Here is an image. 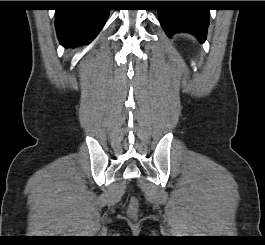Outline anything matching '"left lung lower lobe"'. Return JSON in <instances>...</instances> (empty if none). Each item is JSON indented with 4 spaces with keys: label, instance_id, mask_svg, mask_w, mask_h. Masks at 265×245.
<instances>
[{
    "label": "left lung lower lobe",
    "instance_id": "1",
    "mask_svg": "<svg viewBox=\"0 0 265 245\" xmlns=\"http://www.w3.org/2000/svg\"><path fill=\"white\" fill-rule=\"evenodd\" d=\"M196 2H189L194 4ZM161 26L167 36L177 32H189L204 42L209 26V10L198 8H165L159 10Z\"/></svg>",
    "mask_w": 265,
    "mask_h": 245
}]
</instances>
